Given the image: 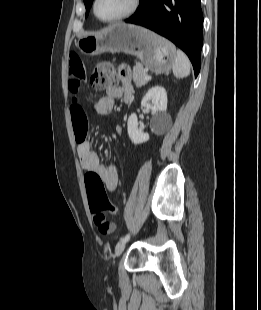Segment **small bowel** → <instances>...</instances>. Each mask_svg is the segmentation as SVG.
<instances>
[{"instance_id": "small-bowel-1", "label": "small bowel", "mask_w": 261, "mask_h": 310, "mask_svg": "<svg viewBox=\"0 0 261 310\" xmlns=\"http://www.w3.org/2000/svg\"><path fill=\"white\" fill-rule=\"evenodd\" d=\"M119 85L111 86L107 89L104 97L96 103V111L100 114H106L113 108L114 101L124 97L129 99L131 95V70L127 65L118 67ZM86 81L85 66L77 54H71L69 59V77L68 88L72 93H77ZM71 117L75 138L77 141V153L82 168L87 172L97 173L103 180L109 191H115L118 187V173L116 168L111 164H101L96 152L93 150L91 143L87 140V116L77 101L73 99L71 107ZM120 133V128H117Z\"/></svg>"}]
</instances>
